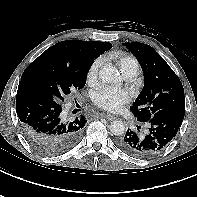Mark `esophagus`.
I'll list each match as a JSON object with an SVG mask.
<instances>
[{
  "mask_svg": "<svg viewBox=\"0 0 197 197\" xmlns=\"http://www.w3.org/2000/svg\"><path fill=\"white\" fill-rule=\"evenodd\" d=\"M100 116L103 117V118H106L107 120H114V119H116L115 115L108 114V113H101Z\"/></svg>",
  "mask_w": 197,
  "mask_h": 197,
  "instance_id": "esophagus-1",
  "label": "esophagus"
}]
</instances>
